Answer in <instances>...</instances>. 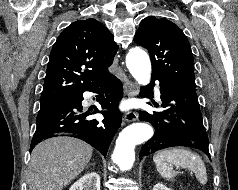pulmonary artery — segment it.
<instances>
[{
	"mask_svg": "<svg viewBox=\"0 0 238 190\" xmlns=\"http://www.w3.org/2000/svg\"><path fill=\"white\" fill-rule=\"evenodd\" d=\"M155 93H156L157 96H159V94H160L159 89H156Z\"/></svg>",
	"mask_w": 238,
	"mask_h": 190,
	"instance_id": "obj_1",
	"label": "pulmonary artery"
}]
</instances>
